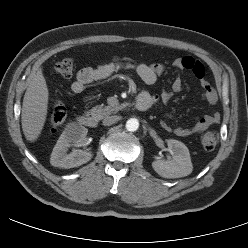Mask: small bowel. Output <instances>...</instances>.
Returning <instances> with one entry per match:
<instances>
[{
	"mask_svg": "<svg viewBox=\"0 0 248 248\" xmlns=\"http://www.w3.org/2000/svg\"><path fill=\"white\" fill-rule=\"evenodd\" d=\"M173 66L177 69L192 72L201 84L203 100L209 104L217 103L218 94L211 83L205 78V67L200 61L190 56H184L176 58L173 61ZM123 69L134 71L145 84L151 85L154 84L158 77L165 72L166 67L164 64L159 62L151 64L111 62L95 68L86 67L78 71L76 79L71 85V90L75 94H80L94 82L106 79ZM182 88V80L177 77L171 85V91H164L160 95L144 94L149 96L152 105H155L159 101L167 103L172 98L173 94L180 92ZM219 122L220 114L214 112L195 119L189 126H179L174 128L166 121H161L160 124L164 130L172 132L180 137H186L200 133Z\"/></svg>",
	"mask_w": 248,
	"mask_h": 248,
	"instance_id": "obj_1",
	"label": "small bowel"
}]
</instances>
